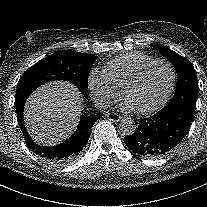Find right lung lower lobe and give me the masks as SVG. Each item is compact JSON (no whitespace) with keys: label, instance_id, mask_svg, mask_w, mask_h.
<instances>
[{"label":"right lung lower lobe","instance_id":"98d812e1","mask_svg":"<svg viewBox=\"0 0 207 207\" xmlns=\"http://www.w3.org/2000/svg\"><path fill=\"white\" fill-rule=\"evenodd\" d=\"M25 102L26 100H22L16 103L17 120L25 143L38 157L51 164H66L77 158L90 138L91 127H93L95 121L103 116V114L82 116L76 132L69 139L57 146L45 147L35 143L26 131L23 118Z\"/></svg>","mask_w":207,"mask_h":207}]
</instances>
